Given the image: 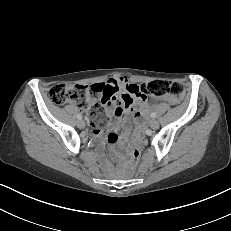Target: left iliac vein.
Listing matches in <instances>:
<instances>
[{
  "instance_id": "obj_1",
  "label": "left iliac vein",
  "mask_w": 231,
  "mask_h": 231,
  "mask_svg": "<svg viewBox=\"0 0 231 231\" xmlns=\"http://www.w3.org/2000/svg\"><path fill=\"white\" fill-rule=\"evenodd\" d=\"M159 122L155 119L151 120L150 122V128L153 130H157L159 128Z\"/></svg>"
}]
</instances>
